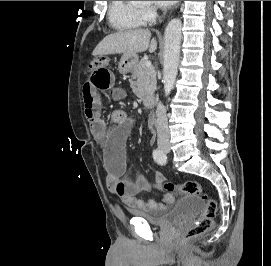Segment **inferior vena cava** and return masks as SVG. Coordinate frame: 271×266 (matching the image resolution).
<instances>
[{
	"instance_id": "602c4592",
	"label": "inferior vena cava",
	"mask_w": 271,
	"mask_h": 266,
	"mask_svg": "<svg viewBox=\"0 0 271 266\" xmlns=\"http://www.w3.org/2000/svg\"><path fill=\"white\" fill-rule=\"evenodd\" d=\"M157 115V137L158 142L169 141L170 131L168 128V119L166 114V108L160 102L156 108Z\"/></svg>"
}]
</instances>
